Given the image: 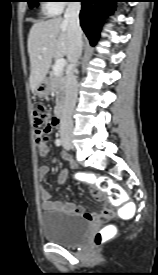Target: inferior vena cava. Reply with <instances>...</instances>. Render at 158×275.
Returning <instances> with one entry per match:
<instances>
[{"label":"inferior vena cava","instance_id":"602c4592","mask_svg":"<svg viewBox=\"0 0 158 275\" xmlns=\"http://www.w3.org/2000/svg\"><path fill=\"white\" fill-rule=\"evenodd\" d=\"M81 4L70 2L64 14V21L68 25V52L67 58L71 70L67 75L65 101L60 118V133L62 137L71 136L73 130L72 112L77 100V77L75 67L82 54V29L79 22Z\"/></svg>","mask_w":158,"mask_h":275}]
</instances>
